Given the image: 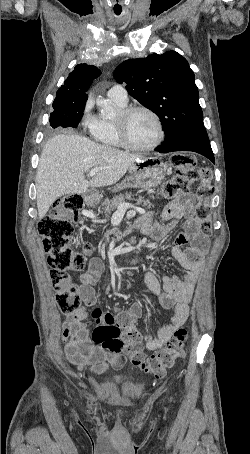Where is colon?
<instances>
[{"mask_svg":"<svg viewBox=\"0 0 250 454\" xmlns=\"http://www.w3.org/2000/svg\"><path fill=\"white\" fill-rule=\"evenodd\" d=\"M171 162L176 174L162 184L159 196L167 200L177 199L188 192L193 182L198 181L193 216L198 222L199 230L206 236L210 235L212 222L209 200L214 193L211 184L212 170L209 167L198 166L196 158L190 154H174ZM83 204L84 199L80 194L67 195L55 202L50 213L38 225L56 292L55 299L60 310L66 314L75 313L81 305L78 288L71 272L84 270L87 256L92 251L89 243L84 244L81 251L76 250L71 244L74 225L78 223L79 211ZM91 314L97 323L92 333V340L95 343L111 353L128 354L135 366L155 377L165 375L184 355L188 337L185 328H178L165 347L146 358L141 348V333L136 329L133 317L124 314L116 318L100 308L93 309Z\"/></svg>","mask_w":250,"mask_h":454,"instance_id":"1","label":"colon"}]
</instances>
